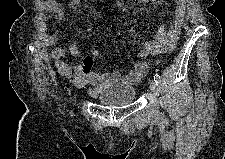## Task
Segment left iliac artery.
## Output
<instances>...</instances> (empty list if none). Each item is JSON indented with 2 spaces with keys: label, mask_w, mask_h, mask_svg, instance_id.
Returning <instances> with one entry per match:
<instances>
[{
  "label": "left iliac artery",
  "mask_w": 225,
  "mask_h": 159,
  "mask_svg": "<svg viewBox=\"0 0 225 159\" xmlns=\"http://www.w3.org/2000/svg\"><path fill=\"white\" fill-rule=\"evenodd\" d=\"M154 81H155L156 84H158L160 82V75L158 73H156L154 75Z\"/></svg>",
  "instance_id": "left-iliac-artery-1"
}]
</instances>
